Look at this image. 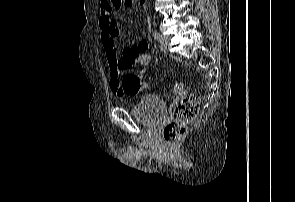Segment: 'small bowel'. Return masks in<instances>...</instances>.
Here are the masks:
<instances>
[{"label": "small bowel", "mask_w": 295, "mask_h": 202, "mask_svg": "<svg viewBox=\"0 0 295 202\" xmlns=\"http://www.w3.org/2000/svg\"><path fill=\"white\" fill-rule=\"evenodd\" d=\"M118 9L110 0H101L99 28L101 31V45L107 54L109 71V86L110 90L120 96L128 94L122 91L121 73L130 70L135 64H139L140 52H146L149 48L147 41H141L136 45L125 46L121 53L116 50V40L120 36L121 30L117 22L112 18V13ZM146 42V43H143ZM138 79H142L144 75H136ZM142 90H135L136 94Z\"/></svg>", "instance_id": "small-bowel-1"}]
</instances>
